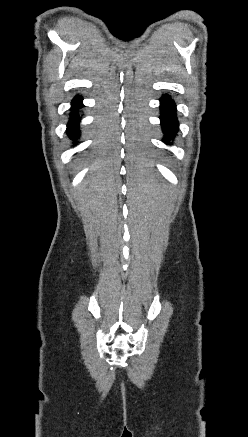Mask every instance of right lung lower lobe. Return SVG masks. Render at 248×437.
I'll return each instance as SVG.
<instances>
[{
	"label": "right lung lower lobe",
	"mask_w": 248,
	"mask_h": 437,
	"mask_svg": "<svg viewBox=\"0 0 248 437\" xmlns=\"http://www.w3.org/2000/svg\"><path fill=\"white\" fill-rule=\"evenodd\" d=\"M82 98L79 96H76L72 101V107H71V118L68 123L67 133L69 137L73 140L77 139V136L79 135L78 130V123H79V114L78 109L82 107Z\"/></svg>",
	"instance_id": "98d812e1"
}]
</instances>
